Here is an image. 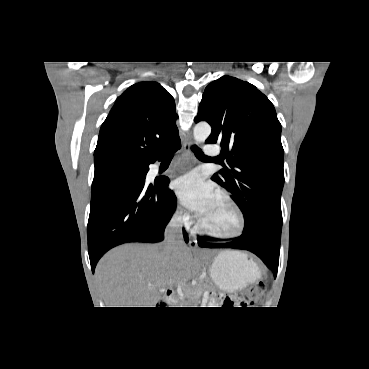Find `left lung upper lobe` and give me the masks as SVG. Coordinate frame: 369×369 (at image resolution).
I'll list each match as a JSON object with an SVG mask.
<instances>
[{
  "mask_svg": "<svg viewBox=\"0 0 369 369\" xmlns=\"http://www.w3.org/2000/svg\"><path fill=\"white\" fill-rule=\"evenodd\" d=\"M194 121L212 127L205 143L222 147L225 167L212 180L232 193L245 220L243 232L264 221L282 223L284 184L281 124L273 104L254 85L231 76L211 82Z\"/></svg>",
  "mask_w": 369,
  "mask_h": 369,
  "instance_id": "5c2ea615",
  "label": "left lung upper lobe"
}]
</instances>
